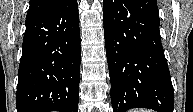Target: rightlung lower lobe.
I'll return each mask as SVG.
<instances>
[{
  "instance_id": "obj_1",
  "label": "right lung lower lobe",
  "mask_w": 193,
  "mask_h": 112,
  "mask_svg": "<svg viewBox=\"0 0 193 112\" xmlns=\"http://www.w3.org/2000/svg\"><path fill=\"white\" fill-rule=\"evenodd\" d=\"M17 112H77L80 30L77 0L26 19Z\"/></svg>"
}]
</instances>
